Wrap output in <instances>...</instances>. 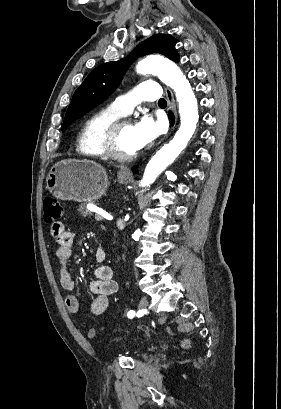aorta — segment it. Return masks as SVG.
<instances>
[{
    "label": "aorta",
    "mask_w": 281,
    "mask_h": 409,
    "mask_svg": "<svg viewBox=\"0 0 281 409\" xmlns=\"http://www.w3.org/2000/svg\"><path fill=\"white\" fill-rule=\"evenodd\" d=\"M136 71L140 74L156 75L174 90L181 117L180 127L173 139L151 158L145 168L141 185L148 187L187 146L196 130L199 118L198 105L189 81L180 68L170 60L149 56L138 62Z\"/></svg>",
    "instance_id": "1"
}]
</instances>
